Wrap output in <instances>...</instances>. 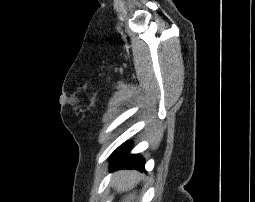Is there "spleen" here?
<instances>
[{
  "label": "spleen",
  "mask_w": 255,
  "mask_h": 202,
  "mask_svg": "<svg viewBox=\"0 0 255 202\" xmlns=\"http://www.w3.org/2000/svg\"><path fill=\"white\" fill-rule=\"evenodd\" d=\"M139 181V176L135 172H119L114 178V182L117 184L118 190L123 192L133 189ZM135 194L130 193L125 196L122 202H133Z\"/></svg>",
  "instance_id": "spleen-1"
}]
</instances>
